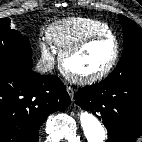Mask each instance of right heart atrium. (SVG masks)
Returning <instances> with one entry per match:
<instances>
[{
    "instance_id": "obj_1",
    "label": "right heart atrium",
    "mask_w": 142,
    "mask_h": 142,
    "mask_svg": "<svg viewBox=\"0 0 142 142\" xmlns=\"http://www.w3.org/2000/svg\"><path fill=\"white\" fill-rule=\"evenodd\" d=\"M39 47H40L42 56L50 60L52 58V50H51L50 45L45 41H41L39 44Z\"/></svg>"
}]
</instances>
